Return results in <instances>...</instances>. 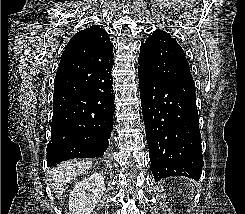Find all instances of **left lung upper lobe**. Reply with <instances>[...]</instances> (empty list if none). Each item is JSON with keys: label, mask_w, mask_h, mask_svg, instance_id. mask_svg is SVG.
<instances>
[{"label": "left lung upper lobe", "mask_w": 245, "mask_h": 214, "mask_svg": "<svg viewBox=\"0 0 245 214\" xmlns=\"http://www.w3.org/2000/svg\"><path fill=\"white\" fill-rule=\"evenodd\" d=\"M138 62V69L153 76L194 84L183 49L162 30L154 31L142 44Z\"/></svg>", "instance_id": "1"}]
</instances>
